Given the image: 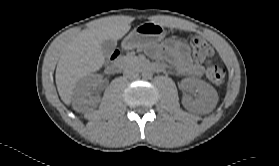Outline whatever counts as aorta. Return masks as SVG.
<instances>
[{
    "instance_id": "1",
    "label": "aorta",
    "mask_w": 279,
    "mask_h": 166,
    "mask_svg": "<svg viewBox=\"0 0 279 166\" xmlns=\"http://www.w3.org/2000/svg\"><path fill=\"white\" fill-rule=\"evenodd\" d=\"M142 77L144 79H151L153 77V72L150 69L145 68L142 70Z\"/></svg>"
}]
</instances>
